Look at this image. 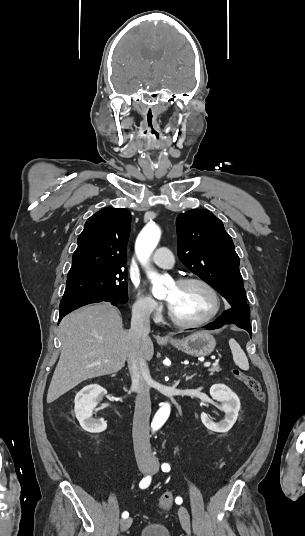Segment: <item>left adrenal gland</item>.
I'll list each match as a JSON object with an SVG mask.
<instances>
[{"mask_svg":"<svg viewBox=\"0 0 305 536\" xmlns=\"http://www.w3.org/2000/svg\"><path fill=\"white\" fill-rule=\"evenodd\" d=\"M191 378H193V376H186V382L187 380H191Z\"/></svg>","mask_w":305,"mask_h":536,"instance_id":"1","label":"left adrenal gland"}]
</instances>
